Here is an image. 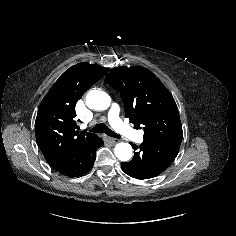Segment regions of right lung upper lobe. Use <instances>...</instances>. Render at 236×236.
Returning <instances> with one entry per match:
<instances>
[{"mask_svg":"<svg viewBox=\"0 0 236 236\" xmlns=\"http://www.w3.org/2000/svg\"><path fill=\"white\" fill-rule=\"evenodd\" d=\"M107 71L99 65L78 63L66 70L46 94L35 121L37 145L46 160L71 152L96 137L77 131L75 105Z\"/></svg>","mask_w":236,"mask_h":236,"instance_id":"1","label":"right lung upper lobe"}]
</instances>
